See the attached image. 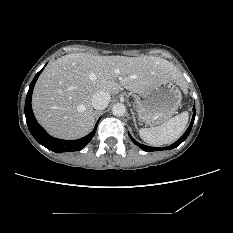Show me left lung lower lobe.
Instances as JSON below:
<instances>
[{"label":"left lung lower lobe","instance_id":"obj_1","mask_svg":"<svg viewBox=\"0 0 233 233\" xmlns=\"http://www.w3.org/2000/svg\"><path fill=\"white\" fill-rule=\"evenodd\" d=\"M194 119H195V105L193 107V117H192V121L188 127V129L186 130V132L173 144H171L170 146L168 147H163V148H157V147H150V146H146V145H143V144H140L138 143L136 140H134L131 136V140L132 142L139 146L141 149H143L144 151L146 152H152V151H160V150H170V149H174L176 148L177 146H179L189 135L191 129H192V126H193V123H194Z\"/></svg>","mask_w":233,"mask_h":233}]
</instances>
